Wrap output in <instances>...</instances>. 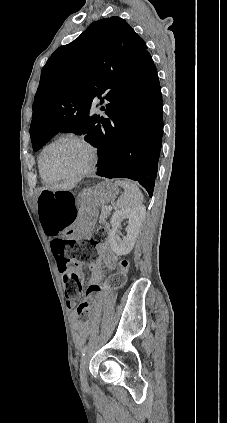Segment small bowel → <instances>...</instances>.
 Wrapping results in <instances>:
<instances>
[{"instance_id":"small-bowel-1","label":"small bowel","mask_w":227,"mask_h":423,"mask_svg":"<svg viewBox=\"0 0 227 423\" xmlns=\"http://www.w3.org/2000/svg\"><path fill=\"white\" fill-rule=\"evenodd\" d=\"M51 240V247L52 243L55 242V240H58L59 236H52L49 235ZM99 250V257L98 259L89 265V270L91 272L89 283L91 285H97L100 283L104 276V270L102 268V265L105 266V268L108 271L114 270L118 265V258L117 256L111 251L109 245L107 243H102L98 246ZM75 306V302L73 300L67 301V307L72 309ZM99 312L97 310L94 311L92 314V317L89 321H83L80 320L77 313H72L70 320L73 329L76 332L75 335V344L76 346L80 347L87 336L89 335L91 326L98 320Z\"/></svg>"}]
</instances>
